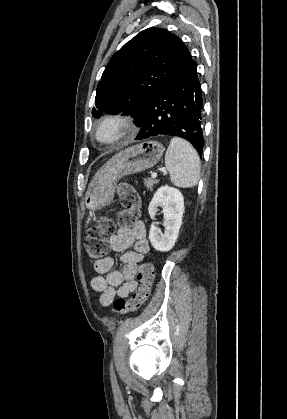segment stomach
<instances>
[{"label":"stomach","instance_id":"0dacf381","mask_svg":"<svg viewBox=\"0 0 287 419\" xmlns=\"http://www.w3.org/2000/svg\"><path fill=\"white\" fill-rule=\"evenodd\" d=\"M164 152L158 141H145L120 151L94 175L85 194L88 208L100 209L109 205L117 182L124 176L139 173L155 166Z\"/></svg>","mask_w":287,"mask_h":419}]
</instances>
